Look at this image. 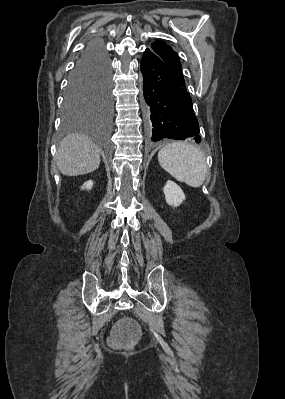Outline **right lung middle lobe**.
Wrapping results in <instances>:
<instances>
[{
	"mask_svg": "<svg viewBox=\"0 0 285 399\" xmlns=\"http://www.w3.org/2000/svg\"><path fill=\"white\" fill-rule=\"evenodd\" d=\"M111 102V70L108 56L103 54L76 66L64 96L65 130L78 123L90 111L108 119L111 114Z\"/></svg>",
	"mask_w": 285,
	"mask_h": 399,
	"instance_id": "dd1d6c3e",
	"label": "right lung middle lobe"
}]
</instances>
